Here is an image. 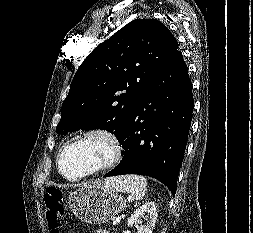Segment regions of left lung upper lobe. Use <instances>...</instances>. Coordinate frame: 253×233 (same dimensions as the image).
<instances>
[{
  "label": "left lung upper lobe",
  "instance_id": "left-lung-upper-lobe-1",
  "mask_svg": "<svg viewBox=\"0 0 253 233\" xmlns=\"http://www.w3.org/2000/svg\"><path fill=\"white\" fill-rule=\"evenodd\" d=\"M178 46L156 19L128 23L78 68L61 108L57 133L100 128L120 141L129 116L163 77Z\"/></svg>",
  "mask_w": 253,
  "mask_h": 233
}]
</instances>
